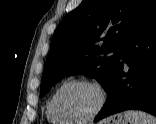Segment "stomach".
Returning <instances> with one entry per match:
<instances>
[{"instance_id":"1","label":"stomach","mask_w":156,"mask_h":124,"mask_svg":"<svg viewBox=\"0 0 156 124\" xmlns=\"http://www.w3.org/2000/svg\"><path fill=\"white\" fill-rule=\"evenodd\" d=\"M107 124H128V121L123 117V115H117L112 121Z\"/></svg>"}]
</instances>
